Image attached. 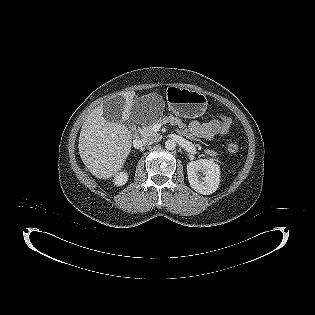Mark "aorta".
I'll return each instance as SVG.
<instances>
[{"label": "aorta", "mask_w": 315, "mask_h": 315, "mask_svg": "<svg viewBox=\"0 0 315 315\" xmlns=\"http://www.w3.org/2000/svg\"><path fill=\"white\" fill-rule=\"evenodd\" d=\"M165 148L167 150H174L176 148V142L173 139H168L165 142Z\"/></svg>", "instance_id": "1"}]
</instances>
